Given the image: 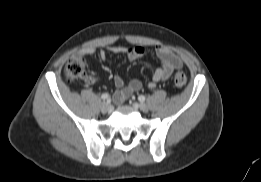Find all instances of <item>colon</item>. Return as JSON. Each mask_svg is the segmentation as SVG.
<instances>
[{
  "instance_id": "obj_1",
  "label": "colon",
  "mask_w": 261,
  "mask_h": 182,
  "mask_svg": "<svg viewBox=\"0 0 261 182\" xmlns=\"http://www.w3.org/2000/svg\"><path fill=\"white\" fill-rule=\"evenodd\" d=\"M65 75L71 82L84 78L86 76L84 60L76 57L71 58L65 66ZM174 84L177 87L184 86L186 84V75L182 72H177L174 75Z\"/></svg>"
}]
</instances>
